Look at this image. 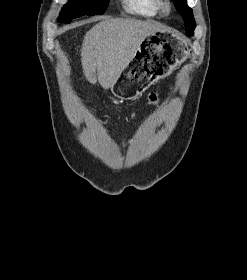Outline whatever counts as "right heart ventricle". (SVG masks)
<instances>
[{"mask_svg": "<svg viewBox=\"0 0 247 280\" xmlns=\"http://www.w3.org/2000/svg\"><path fill=\"white\" fill-rule=\"evenodd\" d=\"M125 10L142 17L153 18L160 15V0H122Z\"/></svg>", "mask_w": 247, "mask_h": 280, "instance_id": "obj_1", "label": "right heart ventricle"}]
</instances>
